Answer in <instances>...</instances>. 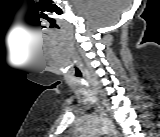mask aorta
Here are the masks:
<instances>
[{
	"instance_id": "obj_1",
	"label": "aorta",
	"mask_w": 160,
	"mask_h": 137,
	"mask_svg": "<svg viewBox=\"0 0 160 137\" xmlns=\"http://www.w3.org/2000/svg\"><path fill=\"white\" fill-rule=\"evenodd\" d=\"M96 130L98 133H103V134L111 133L114 136H117L118 134L113 125L105 122L99 123Z\"/></svg>"
}]
</instances>
